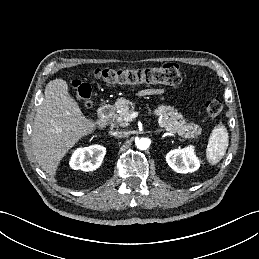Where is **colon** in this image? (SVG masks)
Here are the masks:
<instances>
[{
  "instance_id": "1",
  "label": "colon",
  "mask_w": 259,
  "mask_h": 259,
  "mask_svg": "<svg viewBox=\"0 0 259 259\" xmlns=\"http://www.w3.org/2000/svg\"><path fill=\"white\" fill-rule=\"evenodd\" d=\"M95 79L109 85L139 86L166 84L176 85L182 80L181 67L176 63H167L156 67H123V68H96L92 71ZM74 91L85 107H91V88L87 83L79 80L73 82ZM222 101L215 97L208 100L205 110L211 120H215L222 111Z\"/></svg>"
}]
</instances>
